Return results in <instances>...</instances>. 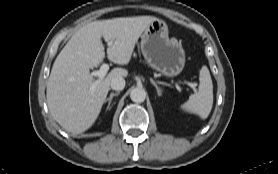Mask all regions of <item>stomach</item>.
Listing matches in <instances>:
<instances>
[{"label":"stomach","instance_id":"1","mask_svg":"<svg viewBox=\"0 0 278 174\" xmlns=\"http://www.w3.org/2000/svg\"><path fill=\"white\" fill-rule=\"evenodd\" d=\"M141 51L150 67L166 77H175L185 65V51L182 44L169 36L165 21H153L141 36Z\"/></svg>","mask_w":278,"mask_h":174}]
</instances>
